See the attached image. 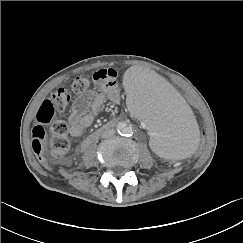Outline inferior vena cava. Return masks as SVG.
<instances>
[{
  "mask_svg": "<svg viewBox=\"0 0 243 243\" xmlns=\"http://www.w3.org/2000/svg\"><path fill=\"white\" fill-rule=\"evenodd\" d=\"M115 134V130L114 129H107L102 133V137L103 138H108L111 137Z\"/></svg>",
  "mask_w": 243,
  "mask_h": 243,
  "instance_id": "602c4592",
  "label": "inferior vena cava"
}]
</instances>
